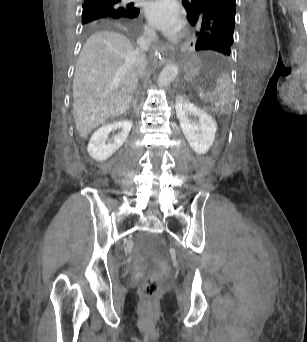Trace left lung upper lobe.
Returning <instances> with one entry per match:
<instances>
[{
    "mask_svg": "<svg viewBox=\"0 0 307 342\" xmlns=\"http://www.w3.org/2000/svg\"><path fill=\"white\" fill-rule=\"evenodd\" d=\"M189 22L197 28L195 49L231 54L235 28V0L183 2Z\"/></svg>",
    "mask_w": 307,
    "mask_h": 342,
    "instance_id": "left-lung-upper-lobe-1",
    "label": "left lung upper lobe"
}]
</instances>
